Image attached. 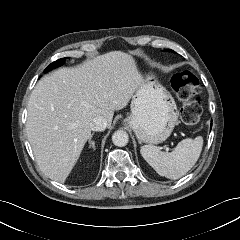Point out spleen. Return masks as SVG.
Instances as JSON below:
<instances>
[{
    "label": "spleen",
    "mask_w": 240,
    "mask_h": 240,
    "mask_svg": "<svg viewBox=\"0 0 240 240\" xmlns=\"http://www.w3.org/2000/svg\"><path fill=\"white\" fill-rule=\"evenodd\" d=\"M203 147L201 136L180 141L172 152H162L159 147L144 145L140 149L142 157L161 176L179 179L197 162Z\"/></svg>",
    "instance_id": "spleen-1"
}]
</instances>
